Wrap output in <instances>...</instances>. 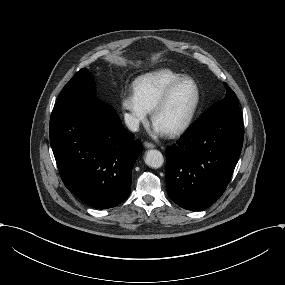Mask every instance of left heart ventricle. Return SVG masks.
Masks as SVG:
<instances>
[{
    "instance_id": "obj_1",
    "label": "left heart ventricle",
    "mask_w": 285,
    "mask_h": 285,
    "mask_svg": "<svg viewBox=\"0 0 285 285\" xmlns=\"http://www.w3.org/2000/svg\"><path fill=\"white\" fill-rule=\"evenodd\" d=\"M196 95L195 85L192 82H185L176 89L168 104L158 112L155 121L167 131L179 125L190 113Z\"/></svg>"
}]
</instances>
